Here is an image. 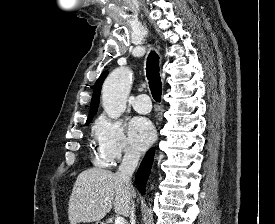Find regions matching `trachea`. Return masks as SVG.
I'll return each mask as SVG.
<instances>
[{"instance_id": "3493384b", "label": "trachea", "mask_w": 275, "mask_h": 224, "mask_svg": "<svg viewBox=\"0 0 275 224\" xmlns=\"http://www.w3.org/2000/svg\"><path fill=\"white\" fill-rule=\"evenodd\" d=\"M146 73L151 94L156 102H160L162 83L159 73V56L154 51H152L147 58Z\"/></svg>"}]
</instances>
